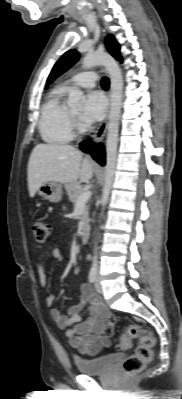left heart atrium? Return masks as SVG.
I'll use <instances>...</instances> for the list:
<instances>
[{"mask_svg": "<svg viewBox=\"0 0 182 399\" xmlns=\"http://www.w3.org/2000/svg\"><path fill=\"white\" fill-rule=\"evenodd\" d=\"M106 110V99L100 92L93 91L86 96L84 109L80 115L83 124L90 125L100 121Z\"/></svg>", "mask_w": 182, "mask_h": 399, "instance_id": "left-heart-atrium-1", "label": "left heart atrium"}]
</instances>
